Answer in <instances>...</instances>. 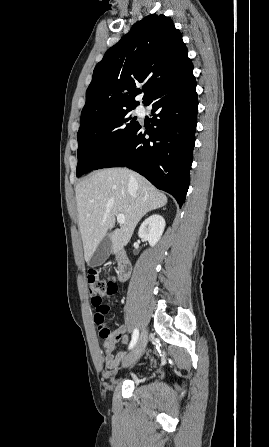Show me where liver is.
I'll return each mask as SVG.
<instances>
[{
	"mask_svg": "<svg viewBox=\"0 0 269 447\" xmlns=\"http://www.w3.org/2000/svg\"><path fill=\"white\" fill-rule=\"evenodd\" d=\"M75 192L85 261L91 259L107 231L114 227L115 216L124 214L125 224L111 233L113 253L127 245L136 225L147 212L167 204L165 194L127 168L98 170L84 182H79Z\"/></svg>",
	"mask_w": 269,
	"mask_h": 447,
	"instance_id": "1",
	"label": "liver"
}]
</instances>
